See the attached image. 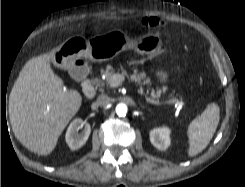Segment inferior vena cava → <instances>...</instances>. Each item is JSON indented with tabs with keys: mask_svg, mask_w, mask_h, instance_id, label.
<instances>
[{
	"mask_svg": "<svg viewBox=\"0 0 245 187\" xmlns=\"http://www.w3.org/2000/svg\"><path fill=\"white\" fill-rule=\"evenodd\" d=\"M109 103H110V98L104 94L99 95L96 99V104L97 106H100V107H105L109 105Z\"/></svg>",
	"mask_w": 245,
	"mask_h": 187,
	"instance_id": "obj_1",
	"label": "inferior vena cava"
}]
</instances>
